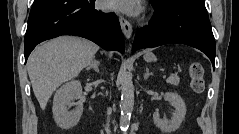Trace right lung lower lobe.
<instances>
[{"label": "right lung lower lobe", "mask_w": 239, "mask_h": 134, "mask_svg": "<svg viewBox=\"0 0 239 134\" xmlns=\"http://www.w3.org/2000/svg\"><path fill=\"white\" fill-rule=\"evenodd\" d=\"M95 0H35L25 34V61L37 44L60 35L87 38L106 50H125L114 13L94 8Z\"/></svg>", "instance_id": "right-lung-lower-lobe-1"}]
</instances>
